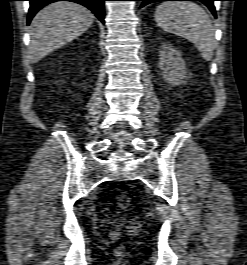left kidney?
Segmentation results:
<instances>
[{
  "instance_id": "left-kidney-1",
  "label": "left kidney",
  "mask_w": 247,
  "mask_h": 265,
  "mask_svg": "<svg viewBox=\"0 0 247 265\" xmlns=\"http://www.w3.org/2000/svg\"><path fill=\"white\" fill-rule=\"evenodd\" d=\"M159 57V68L164 79L174 86L185 83L187 71L181 53L167 43L161 46Z\"/></svg>"
}]
</instances>
